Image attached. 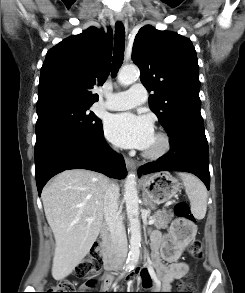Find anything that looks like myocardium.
I'll use <instances>...</instances> for the list:
<instances>
[{"label": "myocardium", "instance_id": "1", "mask_svg": "<svg viewBox=\"0 0 245 293\" xmlns=\"http://www.w3.org/2000/svg\"><path fill=\"white\" fill-rule=\"evenodd\" d=\"M155 136L160 140V147L154 151L145 150L143 156L149 159H158L165 156L171 149V138L164 131H158Z\"/></svg>", "mask_w": 245, "mask_h": 293}]
</instances>
